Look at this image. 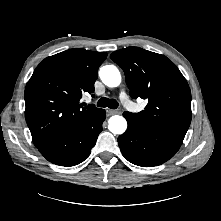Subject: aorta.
Wrapping results in <instances>:
<instances>
[{"mask_svg": "<svg viewBox=\"0 0 221 221\" xmlns=\"http://www.w3.org/2000/svg\"><path fill=\"white\" fill-rule=\"evenodd\" d=\"M99 76L102 82L111 88L118 87L121 83V74L114 65L101 67ZM108 129L113 134H123L127 129V121L123 116L114 115L108 120Z\"/></svg>", "mask_w": 221, "mask_h": 221, "instance_id": "762f6f07", "label": "aorta"}]
</instances>
